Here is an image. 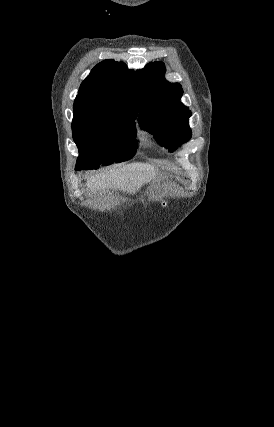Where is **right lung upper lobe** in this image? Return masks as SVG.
Returning a JSON list of instances; mask_svg holds the SVG:
<instances>
[{"mask_svg": "<svg viewBox=\"0 0 274 427\" xmlns=\"http://www.w3.org/2000/svg\"><path fill=\"white\" fill-rule=\"evenodd\" d=\"M133 71L124 63L104 60L82 82L74 102V112L128 110L137 114L130 95Z\"/></svg>", "mask_w": 274, "mask_h": 427, "instance_id": "right-lung-upper-lobe-1", "label": "right lung upper lobe"}]
</instances>
